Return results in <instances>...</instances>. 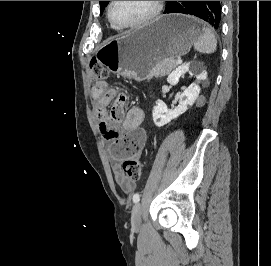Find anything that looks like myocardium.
Returning a JSON list of instances; mask_svg holds the SVG:
<instances>
[{
    "mask_svg": "<svg viewBox=\"0 0 271 266\" xmlns=\"http://www.w3.org/2000/svg\"><path fill=\"white\" fill-rule=\"evenodd\" d=\"M114 2L115 1H110L108 4L107 17H108L110 24L114 28L120 29V30L134 29V28H138V27H141L143 25H146V24L152 22L161 13L162 8H163V4H162L163 1H153L152 2V4H153L152 9L147 16H145L144 18H142L141 20H139L135 23L123 25V24H118L117 22H115L112 17V6H113Z\"/></svg>",
    "mask_w": 271,
    "mask_h": 266,
    "instance_id": "f54148a6",
    "label": "myocardium"
}]
</instances>
